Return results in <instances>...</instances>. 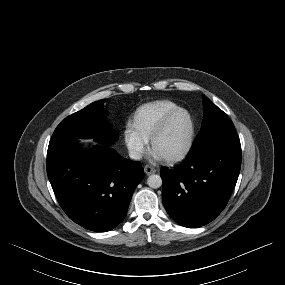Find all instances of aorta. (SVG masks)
I'll list each match as a JSON object with an SVG mask.
<instances>
[{
	"instance_id": "obj_1",
	"label": "aorta",
	"mask_w": 285,
	"mask_h": 285,
	"mask_svg": "<svg viewBox=\"0 0 285 285\" xmlns=\"http://www.w3.org/2000/svg\"><path fill=\"white\" fill-rule=\"evenodd\" d=\"M147 184L149 187H151L153 189H157V188L161 187L162 179L159 175L153 174V175H150L148 177Z\"/></svg>"
}]
</instances>
